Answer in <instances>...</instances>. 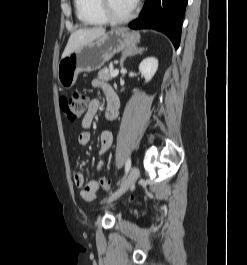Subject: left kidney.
I'll return each mask as SVG.
<instances>
[{"instance_id":"5707ae66","label":"left kidney","mask_w":247,"mask_h":265,"mask_svg":"<svg viewBox=\"0 0 247 265\" xmlns=\"http://www.w3.org/2000/svg\"><path fill=\"white\" fill-rule=\"evenodd\" d=\"M158 69V60L154 57L144 59L139 65L141 75L148 82L152 79Z\"/></svg>"}]
</instances>
